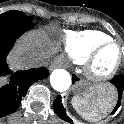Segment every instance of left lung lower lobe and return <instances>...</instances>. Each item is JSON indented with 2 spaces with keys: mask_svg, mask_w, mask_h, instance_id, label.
I'll list each match as a JSON object with an SVG mask.
<instances>
[{
  "mask_svg": "<svg viewBox=\"0 0 124 124\" xmlns=\"http://www.w3.org/2000/svg\"><path fill=\"white\" fill-rule=\"evenodd\" d=\"M74 81H76V77L73 75V82ZM111 83L116 88V91L118 94L117 99L115 101L116 105H115L113 111L111 112V114H114L121 104L122 93H123V89H124V76L123 75L115 76V78L111 81ZM53 108L62 120L73 124L72 120L66 115L65 109H64L63 104L61 102V96H58L56 98V100H54Z\"/></svg>",
  "mask_w": 124,
  "mask_h": 124,
  "instance_id": "left-lung-lower-lobe-1",
  "label": "left lung lower lobe"
}]
</instances>
